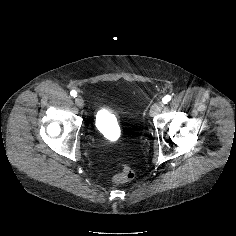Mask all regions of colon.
Instances as JSON below:
<instances>
[{
    "instance_id": "obj_1",
    "label": "colon",
    "mask_w": 236,
    "mask_h": 236,
    "mask_svg": "<svg viewBox=\"0 0 236 236\" xmlns=\"http://www.w3.org/2000/svg\"><path fill=\"white\" fill-rule=\"evenodd\" d=\"M133 177L134 172L132 168L129 165L124 164L120 172L113 178V182L116 184L125 183L133 179Z\"/></svg>"
}]
</instances>
